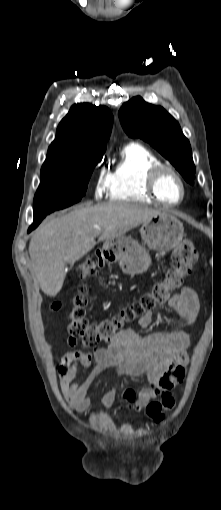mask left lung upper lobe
Listing matches in <instances>:
<instances>
[{"label":"left lung upper lobe","mask_w":221,"mask_h":510,"mask_svg":"<svg viewBox=\"0 0 221 510\" xmlns=\"http://www.w3.org/2000/svg\"><path fill=\"white\" fill-rule=\"evenodd\" d=\"M120 122L130 137L141 138L152 145L193 184L195 166L188 139L178 122L160 106L134 97L119 110Z\"/></svg>","instance_id":"left-lung-upper-lobe-1"}]
</instances>
